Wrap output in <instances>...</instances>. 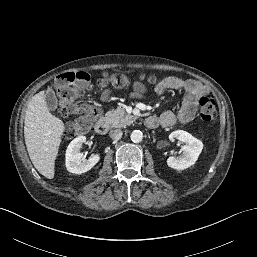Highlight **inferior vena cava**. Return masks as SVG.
Masks as SVG:
<instances>
[{
  "label": "inferior vena cava",
  "mask_w": 257,
  "mask_h": 257,
  "mask_svg": "<svg viewBox=\"0 0 257 257\" xmlns=\"http://www.w3.org/2000/svg\"><path fill=\"white\" fill-rule=\"evenodd\" d=\"M122 135H123V132L120 129L111 130L109 132V136L113 140L121 139Z\"/></svg>",
  "instance_id": "602c4592"
}]
</instances>
